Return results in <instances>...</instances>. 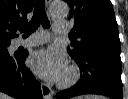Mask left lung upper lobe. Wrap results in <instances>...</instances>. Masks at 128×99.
Listing matches in <instances>:
<instances>
[{"mask_svg": "<svg viewBox=\"0 0 128 99\" xmlns=\"http://www.w3.org/2000/svg\"><path fill=\"white\" fill-rule=\"evenodd\" d=\"M74 19L69 55L78 59L98 46L120 48L118 25L110 0H65Z\"/></svg>", "mask_w": 128, "mask_h": 99, "instance_id": "5c2ea615", "label": "left lung upper lobe"}]
</instances>
